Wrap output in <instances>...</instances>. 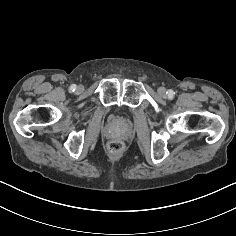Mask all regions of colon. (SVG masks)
<instances>
[{"label":"colon","mask_w":236,"mask_h":236,"mask_svg":"<svg viewBox=\"0 0 236 236\" xmlns=\"http://www.w3.org/2000/svg\"><path fill=\"white\" fill-rule=\"evenodd\" d=\"M110 150L116 152L122 148V144L120 141L114 140L109 143Z\"/></svg>","instance_id":"1"}]
</instances>
